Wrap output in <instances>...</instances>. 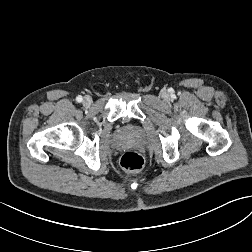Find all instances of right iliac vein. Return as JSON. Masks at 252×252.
Wrapping results in <instances>:
<instances>
[{
	"mask_svg": "<svg viewBox=\"0 0 252 252\" xmlns=\"http://www.w3.org/2000/svg\"><path fill=\"white\" fill-rule=\"evenodd\" d=\"M92 103V100L89 96L84 97L83 99V105L86 107H89Z\"/></svg>",
	"mask_w": 252,
	"mask_h": 252,
	"instance_id": "63e3f726",
	"label": "right iliac vein"
}]
</instances>
